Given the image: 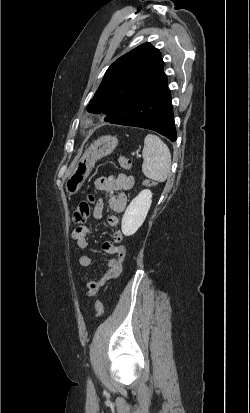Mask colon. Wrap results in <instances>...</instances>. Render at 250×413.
<instances>
[{
    "instance_id": "colon-1",
    "label": "colon",
    "mask_w": 250,
    "mask_h": 413,
    "mask_svg": "<svg viewBox=\"0 0 250 413\" xmlns=\"http://www.w3.org/2000/svg\"><path fill=\"white\" fill-rule=\"evenodd\" d=\"M120 166L125 169L129 170L132 167V162L130 159L126 157H119L118 159ZM145 185L148 187H155L157 185V180L155 178H148L145 182ZM95 198L93 195H88L86 200L81 201L73 211V221L77 224H82L87 221L91 213V206L94 202ZM104 307L100 300H96L95 302V317H99L103 314Z\"/></svg>"
}]
</instances>
